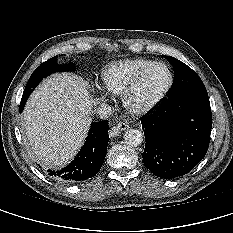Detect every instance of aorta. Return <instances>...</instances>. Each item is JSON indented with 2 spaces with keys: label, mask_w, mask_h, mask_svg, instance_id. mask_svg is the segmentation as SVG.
<instances>
[{
  "label": "aorta",
  "mask_w": 233,
  "mask_h": 233,
  "mask_svg": "<svg viewBox=\"0 0 233 233\" xmlns=\"http://www.w3.org/2000/svg\"><path fill=\"white\" fill-rule=\"evenodd\" d=\"M124 142L129 146H139L143 142V134L138 129H129L124 133Z\"/></svg>",
  "instance_id": "762f6f07"
}]
</instances>
